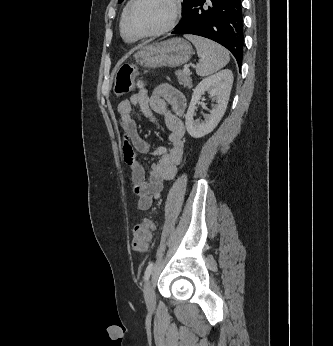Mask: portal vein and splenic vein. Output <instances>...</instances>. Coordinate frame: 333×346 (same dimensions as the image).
I'll return each instance as SVG.
<instances>
[{"label": "portal vein and splenic vein", "mask_w": 333, "mask_h": 346, "mask_svg": "<svg viewBox=\"0 0 333 346\" xmlns=\"http://www.w3.org/2000/svg\"><path fill=\"white\" fill-rule=\"evenodd\" d=\"M185 73H190V70H189V68L188 67H186V68H184V70H183Z\"/></svg>", "instance_id": "18ae733b"}]
</instances>
